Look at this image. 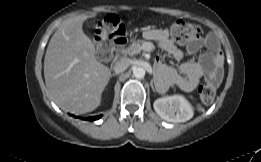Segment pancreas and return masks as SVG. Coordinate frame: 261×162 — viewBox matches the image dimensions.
I'll return each instance as SVG.
<instances>
[{"label": "pancreas", "instance_id": "cf45deb5", "mask_svg": "<svg viewBox=\"0 0 261 162\" xmlns=\"http://www.w3.org/2000/svg\"><path fill=\"white\" fill-rule=\"evenodd\" d=\"M144 43L145 42L143 40H137V41L133 42L130 46H128L124 50L125 56H127V55L134 56V55H137V54L141 53V51H142V44H144Z\"/></svg>", "mask_w": 261, "mask_h": 162}]
</instances>
